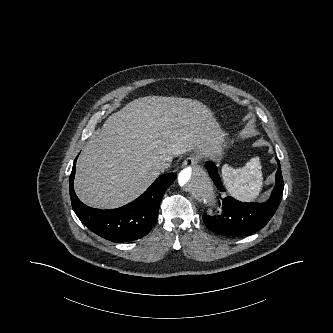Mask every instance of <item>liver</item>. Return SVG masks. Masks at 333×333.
<instances>
[{"mask_svg": "<svg viewBox=\"0 0 333 333\" xmlns=\"http://www.w3.org/2000/svg\"><path fill=\"white\" fill-rule=\"evenodd\" d=\"M218 125L203 103L186 98L135 99L108 117L76 162L74 189L91 207L113 209L139 197L158 177L160 161L218 143Z\"/></svg>", "mask_w": 333, "mask_h": 333, "instance_id": "obj_1", "label": "liver"}]
</instances>
